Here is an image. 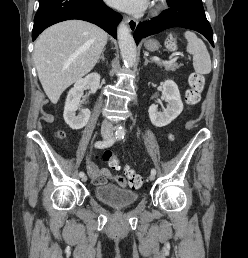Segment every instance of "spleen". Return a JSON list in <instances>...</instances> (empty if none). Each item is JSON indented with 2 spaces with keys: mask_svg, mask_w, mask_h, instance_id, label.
<instances>
[{
  "mask_svg": "<svg viewBox=\"0 0 248 258\" xmlns=\"http://www.w3.org/2000/svg\"><path fill=\"white\" fill-rule=\"evenodd\" d=\"M188 41L187 52L193 55V67L197 74L211 72V59L204 42L191 31L184 33Z\"/></svg>",
  "mask_w": 248,
  "mask_h": 258,
  "instance_id": "spleen-1",
  "label": "spleen"
}]
</instances>
